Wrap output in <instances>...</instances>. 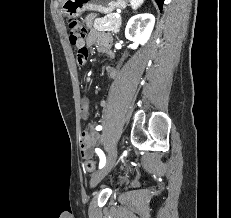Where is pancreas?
Listing matches in <instances>:
<instances>
[{
	"label": "pancreas",
	"instance_id": "pancreas-1",
	"mask_svg": "<svg viewBox=\"0 0 231 218\" xmlns=\"http://www.w3.org/2000/svg\"><path fill=\"white\" fill-rule=\"evenodd\" d=\"M121 26V18H116L115 13H110L103 18L94 22V29L98 31L119 32Z\"/></svg>",
	"mask_w": 231,
	"mask_h": 218
}]
</instances>
